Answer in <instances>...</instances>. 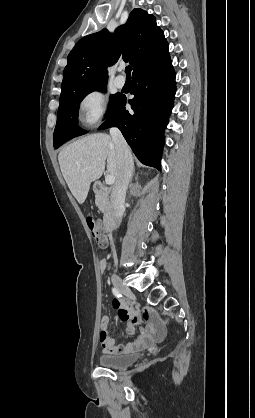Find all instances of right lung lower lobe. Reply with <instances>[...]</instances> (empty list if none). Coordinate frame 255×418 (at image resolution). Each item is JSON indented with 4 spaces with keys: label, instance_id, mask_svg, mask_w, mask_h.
Segmentation results:
<instances>
[{
    "label": "right lung lower lobe",
    "instance_id": "1",
    "mask_svg": "<svg viewBox=\"0 0 255 418\" xmlns=\"http://www.w3.org/2000/svg\"><path fill=\"white\" fill-rule=\"evenodd\" d=\"M132 82L134 98L128 103L133 111L126 110V96L119 94L99 129L118 127L137 158L160 170L163 133L176 92L170 56L133 75Z\"/></svg>",
    "mask_w": 255,
    "mask_h": 418
}]
</instances>
